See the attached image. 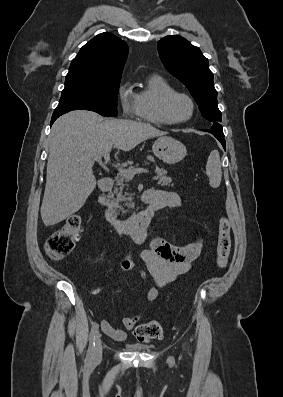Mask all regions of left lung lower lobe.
<instances>
[{
  "label": "left lung lower lobe",
  "instance_id": "0a47b994",
  "mask_svg": "<svg viewBox=\"0 0 283 397\" xmlns=\"http://www.w3.org/2000/svg\"><path fill=\"white\" fill-rule=\"evenodd\" d=\"M204 131L212 133L221 142V144L224 147V149H226V143H225L224 135L217 134V133L213 132L212 130H204Z\"/></svg>",
  "mask_w": 283,
  "mask_h": 397
}]
</instances>
